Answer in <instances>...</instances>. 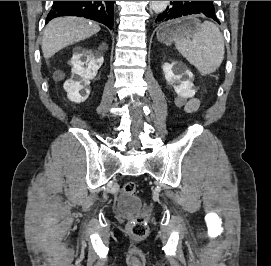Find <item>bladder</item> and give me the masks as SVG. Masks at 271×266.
Instances as JSON below:
<instances>
[{"instance_id":"obj_1","label":"bladder","mask_w":271,"mask_h":266,"mask_svg":"<svg viewBox=\"0 0 271 266\" xmlns=\"http://www.w3.org/2000/svg\"><path fill=\"white\" fill-rule=\"evenodd\" d=\"M141 207V200L135 195H122L117 201V208L122 213H133Z\"/></svg>"}]
</instances>
